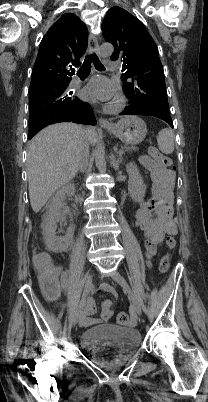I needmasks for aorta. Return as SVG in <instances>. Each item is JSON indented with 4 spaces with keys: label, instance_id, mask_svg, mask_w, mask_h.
<instances>
[{
    "label": "aorta",
    "instance_id": "1",
    "mask_svg": "<svg viewBox=\"0 0 208 402\" xmlns=\"http://www.w3.org/2000/svg\"><path fill=\"white\" fill-rule=\"evenodd\" d=\"M111 54H113V46H109V48H107V44H102V46H100L98 50V56H100V58H110ZM94 156L98 170L103 172L106 168L104 148L98 146L94 152Z\"/></svg>",
    "mask_w": 208,
    "mask_h": 402
}]
</instances>
